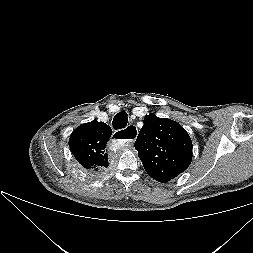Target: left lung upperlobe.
Masks as SVG:
<instances>
[{
  "mask_svg": "<svg viewBox=\"0 0 253 253\" xmlns=\"http://www.w3.org/2000/svg\"><path fill=\"white\" fill-rule=\"evenodd\" d=\"M135 148L146 172L167 183L185 171L192 160V141L177 122L154 113L144 118Z\"/></svg>",
  "mask_w": 253,
  "mask_h": 253,
  "instance_id": "5c2ea615",
  "label": "left lung upper lobe"
}]
</instances>
